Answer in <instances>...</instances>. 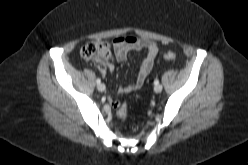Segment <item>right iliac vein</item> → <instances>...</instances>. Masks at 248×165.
<instances>
[{
    "label": "right iliac vein",
    "instance_id": "63e3f726",
    "mask_svg": "<svg viewBox=\"0 0 248 165\" xmlns=\"http://www.w3.org/2000/svg\"><path fill=\"white\" fill-rule=\"evenodd\" d=\"M97 89H98V91L103 92V91H105L106 87L104 84L100 83L97 85Z\"/></svg>",
    "mask_w": 248,
    "mask_h": 165
}]
</instances>
